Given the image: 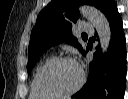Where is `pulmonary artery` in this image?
<instances>
[{
    "mask_svg": "<svg viewBox=\"0 0 128 99\" xmlns=\"http://www.w3.org/2000/svg\"><path fill=\"white\" fill-rule=\"evenodd\" d=\"M81 28L82 30L88 32V33H93L94 32V27L90 25L89 23H81Z\"/></svg>",
    "mask_w": 128,
    "mask_h": 99,
    "instance_id": "1",
    "label": "pulmonary artery"
}]
</instances>
